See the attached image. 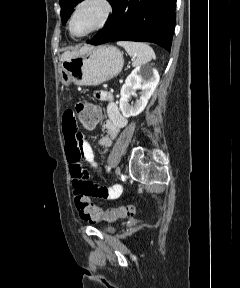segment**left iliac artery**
<instances>
[{
    "mask_svg": "<svg viewBox=\"0 0 240 288\" xmlns=\"http://www.w3.org/2000/svg\"><path fill=\"white\" fill-rule=\"evenodd\" d=\"M110 169H111V168H110V166H108V167H107V172H109V171H110Z\"/></svg>",
    "mask_w": 240,
    "mask_h": 288,
    "instance_id": "obj_1",
    "label": "left iliac artery"
}]
</instances>
